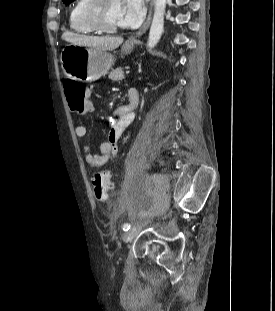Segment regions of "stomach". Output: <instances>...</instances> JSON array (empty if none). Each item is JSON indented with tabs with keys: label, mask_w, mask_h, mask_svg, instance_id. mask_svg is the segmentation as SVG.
I'll return each mask as SVG.
<instances>
[{
	"label": "stomach",
	"mask_w": 275,
	"mask_h": 311,
	"mask_svg": "<svg viewBox=\"0 0 275 311\" xmlns=\"http://www.w3.org/2000/svg\"><path fill=\"white\" fill-rule=\"evenodd\" d=\"M133 44L125 43L121 54H130ZM62 68L66 76L81 81H96L114 65L115 57L105 50L68 44L61 52Z\"/></svg>",
	"instance_id": "0dacf381"
}]
</instances>
